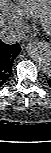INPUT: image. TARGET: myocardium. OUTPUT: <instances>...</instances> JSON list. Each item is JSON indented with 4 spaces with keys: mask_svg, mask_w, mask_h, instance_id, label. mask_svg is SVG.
Here are the masks:
<instances>
[{
    "mask_svg": "<svg viewBox=\"0 0 51 153\" xmlns=\"http://www.w3.org/2000/svg\"><path fill=\"white\" fill-rule=\"evenodd\" d=\"M42 26L46 30L51 29V15L49 13L42 18Z\"/></svg>",
    "mask_w": 51,
    "mask_h": 153,
    "instance_id": "myocardium-1",
    "label": "myocardium"
}]
</instances>
